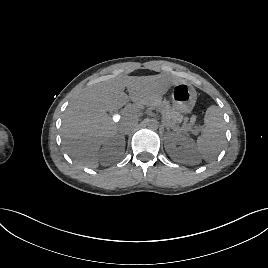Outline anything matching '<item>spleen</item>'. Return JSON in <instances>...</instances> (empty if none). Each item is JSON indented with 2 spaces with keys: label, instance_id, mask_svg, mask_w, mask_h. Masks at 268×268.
<instances>
[{
  "label": "spleen",
  "instance_id": "3e777b00",
  "mask_svg": "<svg viewBox=\"0 0 268 268\" xmlns=\"http://www.w3.org/2000/svg\"><path fill=\"white\" fill-rule=\"evenodd\" d=\"M225 122L222 111L216 105L206 110L204 129L197 138V149L205 161H212L220 153L225 142Z\"/></svg>",
  "mask_w": 268,
  "mask_h": 268
}]
</instances>
